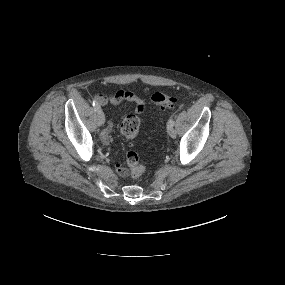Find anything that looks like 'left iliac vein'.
<instances>
[{
	"label": "left iliac vein",
	"instance_id": "obj_1",
	"mask_svg": "<svg viewBox=\"0 0 285 285\" xmlns=\"http://www.w3.org/2000/svg\"><path fill=\"white\" fill-rule=\"evenodd\" d=\"M167 132L169 134V136H171L172 138H175L176 137V130L173 128V126H168L167 127Z\"/></svg>",
	"mask_w": 285,
	"mask_h": 285
}]
</instances>
